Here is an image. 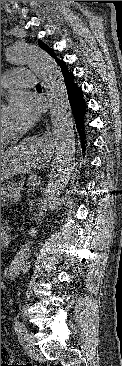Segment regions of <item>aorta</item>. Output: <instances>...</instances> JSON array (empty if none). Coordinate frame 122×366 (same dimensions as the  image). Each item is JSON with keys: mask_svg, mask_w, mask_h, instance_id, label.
Listing matches in <instances>:
<instances>
[{"mask_svg": "<svg viewBox=\"0 0 122 366\" xmlns=\"http://www.w3.org/2000/svg\"><path fill=\"white\" fill-rule=\"evenodd\" d=\"M5 54L10 65L27 66L38 75L50 103V121L56 149L44 195L35 216L38 225L48 208L65 189L75 168L74 122L61 70L50 54L37 45L26 42L10 45ZM31 245L32 241L26 240L15 256V263L20 266L24 263L29 256Z\"/></svg>", "mask_w": 122, "mask_h": 366, "instance_id": "762f6f07", "label": "aorta"}]
</instances>
